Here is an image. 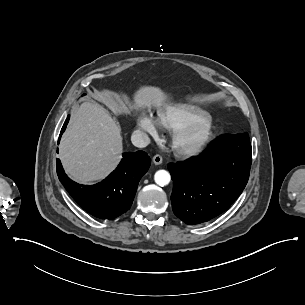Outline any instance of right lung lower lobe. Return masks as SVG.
<instances>
[{"mask_svg":"<svg viewBox=\"0 0 305 305\" xmlns=\"http://www.w3.org/2000/svg\"><path fill=\"white\" fill-rule=\"evenodd\" d=\"M69 118L70 115L59 140ZM150 164L149 156L143 151L123 153L118 167L102 182L91 186L80 185L68 178L59 159L56 160V169L60 182L81 208L97 218L114 219L130 209L138 183Z\"/></svg>","mask_w":305,"mask_h":305,"instance_id":"right-lung-lower-lobe-1","label":"right lung lower lobe"}]
</instances>
